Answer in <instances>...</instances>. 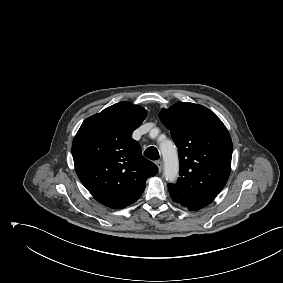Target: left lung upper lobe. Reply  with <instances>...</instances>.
Returning a JSON list of instances; mask_svg holds the SVG:
<instances>
[{"label": "left lung upper lobe", "mask_w": 283, "mask_h": 283, "mask_svg": "<svg viewBox=\"0 0 283 283\" xmlns=\"http://www.w3.org/2000/svg\"><path fill=\"white\" fill-rule=\"evenodd\" d=\"M162 123L178 147L180 172L168 184L172 200L190 211L209 205L231 171L232 140L222 121L199 104L180 102L161 110Z\"/></svg>", "instance_id": "left-lung-upper-lobe-1"}]
</instances>
